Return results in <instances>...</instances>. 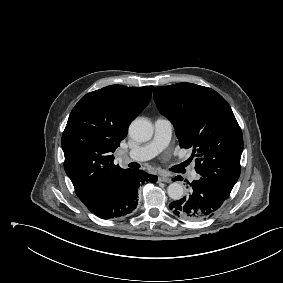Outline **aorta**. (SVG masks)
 I'll return each mask as SVG.
<instances>
[{
  "instance_id": "762f6f07",
  "label": "aorta",
  "mask_w": 283,
  "mask_h": 283,
  "mask_svg": "<svg viewBox=\"0 0 283 283\" xmlns=\"http://www.w3.org/2000/svg\"><path fill=\"white\" fill-rule=\"evenodd\" d=\"M129 134L134 140L145 142L152 138L153 126L149 120L137 118L131 122ZM167 193L171 199L180 200L184 195V188L180 183L173 182L168 186Z\"/></svg>"
}]
</instances>
